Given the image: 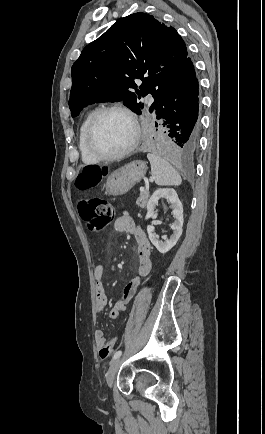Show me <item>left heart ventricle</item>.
<instances>
[{
    "label": "left heart ventricle",
    "mask_w": 265,
    "mask_h": 434,
    "mask_svg": "<svg viewBox=\"0 0 265 434\" xmlns=\"http://www.w3.org/2000/svg\"><path fill=\"white\" fill-rule=\"evenodd\" d=\"M133 135V125L128 116L120 111H112L101 118L96 140L103 151L117 154L129 147Z\"/></svg>",
    "instance_id": "1"
}]
</instances>
